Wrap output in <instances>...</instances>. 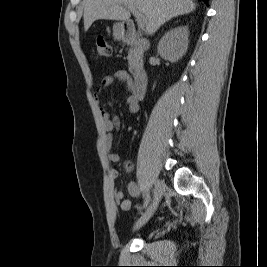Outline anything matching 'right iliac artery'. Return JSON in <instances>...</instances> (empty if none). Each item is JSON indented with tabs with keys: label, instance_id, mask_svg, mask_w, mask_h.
Listing matches in <instances>:
<instances>
[{
	"label": "right iliac artery",
	"instance_id": "1",
	"mask_svg": "<svg viewBox=\"0 0 267 267\" xmlns=\"http://www.w3.org/2000/svg\"><path fill=\"white\" fill-rule=\"evenodd\" d=\"M150 199H151V196H150V192H146V195H145V200H144V204H143V208H145L148 203L150 202Z\"/></svg>",
	"mask_w": 267,
	"mask_h": 267
}]
</instances>
